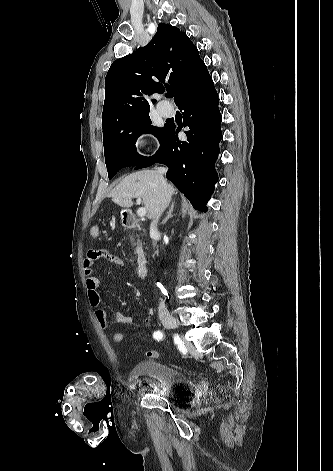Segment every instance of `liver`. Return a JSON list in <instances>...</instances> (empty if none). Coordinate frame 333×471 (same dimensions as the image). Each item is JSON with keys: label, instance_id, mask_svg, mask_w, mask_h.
Here are the masks:
<instances>
[{"label": "liver", "instance_id": "6515ba94", "mask_svg": "<svg viewBox=\"0 0 333 471\" xmlns=\"http://www.w3.org/2000/svg\"><path fill=\"white\" fill-rule=\"evenodd\" d=\"M170 196L175 193L172 185L167 184ZM162 194V186L156 170L147 169L126 176L109 194L108 197L117 205L130 208L134 198H142L147 216L154 219Z\"/></svg>", "mask_w": 333, "mask_h": 471}]
</instances>
